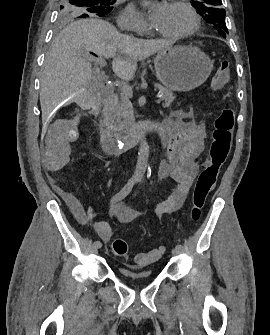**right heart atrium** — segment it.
Segmentation results:
<instances>
[{
  "label": "right heart atrium",
  "instance_id": "obj_1",
  "mask_svg": "<svg viewBox=\"0 0 270 335\" xmlns=\"http://www.w3.org/2000/svg\"><path fill=\"white\" fill-rule=\"evenodd\" d=\"M118 25H135V34L145 35L148 32V25L143 19L139 10L129 4L119 15L117 20Z\"/></svg>",
  "mask_w": 270,
  "mask_h": 335
}]
</instances>
